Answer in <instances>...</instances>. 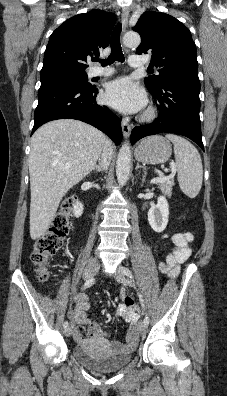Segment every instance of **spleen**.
<instances>
[{
  "label": "spleen",
  "mask_w": 227,
  "mask_h": 396,
  "mask_svg": "<svg viewBox=\"0 0 227 396\" xmlns=\"http://www.w3.org/2000/svg\"><path fill=\"white\" fill-rule=\"evenodd\" d=\"M166 138L174 144V155L181 190L190 198H195L202 186L203 167L198 150L186 139L167 134Z\"/></svg>",
  "instance_id": "obj_1"
}]
</instances>
